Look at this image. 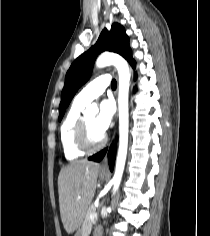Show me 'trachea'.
I'll use <instances>...</instances> for the list:
<instances>
[{"instance_id":"3493384b","label":"trachea","mask_w":210,"mask_h":236,"mask_svg":"<svg viewBox=\"0 0 210 236\" xmlns=\"http://www.w3.org/2000/svg\"><path fill=\"white\" fill-rule=\"evenodd\" d=\"M116 86H117L116 80L113 79L112 82H111L112 89H116Z\"/></svg>"}]
</instances>
